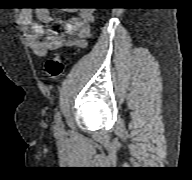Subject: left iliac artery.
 Wrapping results in <instances>:
<instances>
[{"label":"left iliac artery","mask_w":192,"mask_h":180,"mask_svg":"<svg viewBox=\"0 0 192 180\" xmlns=\"http://www.w3.org/2000/svg\"><path fill=\"white\" fill-rule=\"evenodd\" d=\"M55 121L57 125L61 124V117H60V113L57 111L55 114Z\"/></svg>","instance_id":"obj_1"}]
</instances>
